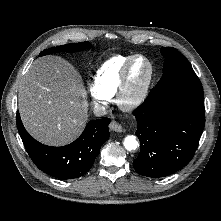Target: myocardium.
Returning a JSON list of instances; mask_svg holds the SVG:
<instances>
[{
    "mask_svg": "<svg viewBox=\"0 0 221 221\" xmlns=\"http://www.w3.org/2000/svg\"><path fill=\"white\" fill-rule=\"evenodd\" d=\"M138 59H142L147 63L149 67V72L140 91L136 95L131 97L129 96L130 72L134 62ZM153 77H154V66L151 60L141 54L133 55L126 63L121 75L119 87L115 95L116 96L115 100L117 105L124 111H132L137 107H139L147 96Z\"/></svg>",
    "mask_w": 221,
    "mask_h": 221,
    "instance_id": "f54148a6",
    "label": "myocardium"
}]
</instances>
